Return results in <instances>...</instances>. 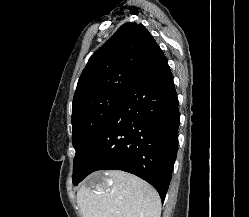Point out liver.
Returning a JSON list of instances; mask_svg holds the SVG:
<instances>
[{
    "mask_svg": "<svg viewBox=\"0 0 249 217\" xmlns=\"http://www.w3.org/2000/svg\"><path fill=\"white\" fill-rule=\"evenodd\" d=\"M105 178L96 188L83 184L77 203L83 217H160L161 201L156 190L144 180L120 170L93 174Z\"/></svg>",
    "mask_w": 249,
    "mask_h": 217,
    "instance_id": "1",
    "label": "liver"
}]
</instances>
